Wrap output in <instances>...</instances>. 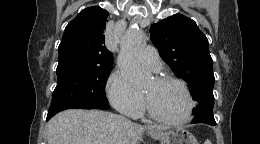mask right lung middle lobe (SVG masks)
I'll use <instances>...</instances> for the list:
<instances>
[{
  "label": "right lung middle lobe",
  "instance_id": "right-lung-middle-lobe-1",
  "mask_svg": "<svg viewBox=\"0 0 260 144\" xmlns=\"http://www.w3.org/2000/svg\"><path fill=\"white\" fill-rule=\"evenodd\" d=\"M112 67L57 69V86L53 92L48 116L71 109H88L107 104L105 86Z\"/></svg>",
  "mask_w": 260,
  "mask_h": 144
}]
</instances>
